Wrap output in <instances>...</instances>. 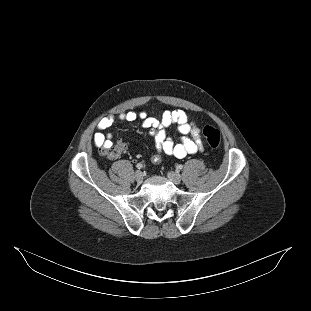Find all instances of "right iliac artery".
Wrapping results in <instances>:
<instances>
[{
  "label": "right iliac artery",
  "mask_w": 311,
  "mask_h": 311,
  "mask_svg": "<svg viewBox=\"0 0 311 311\" xmlns=\"http://www.w3.org/2000/svg\"><path fill=\"white\" fill-rule=\"evenodd\" d=\"M136 167H137L138 169H141V168L143 167V164L138 163V164L136 165Z\"/></svg>",
  "instance_id": "right-iliac-artery-1"
}]
</instances>
